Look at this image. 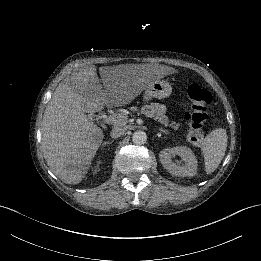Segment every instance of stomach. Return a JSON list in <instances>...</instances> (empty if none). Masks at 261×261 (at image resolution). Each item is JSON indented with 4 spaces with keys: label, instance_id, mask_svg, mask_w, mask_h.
Returning a JSON list of instances; mask_svg holds the SVG:
<instances>
[{
    "label": "stomach",
    "instance_id": "1",
    "mask_svg": "<svg viewBox=\"0 0 261 261\" xmlns=\"http://www.w3.org/2000/svg\"><path fill=\"white\" fill-rule=\"evenodd\" d=\"M173 92V87L170 82L162 80L155 81L149 88L147 94L157 99H166Z\"/></svg>",
    "mask_w": 261,
    "mask_h": 261
}]
</instances>
